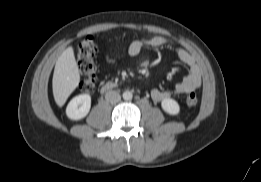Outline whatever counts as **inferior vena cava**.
Segmentation results:
<instances>
[{
	"label": "inferior vena cava",
	"instance_id": "1",
	"mask_svg": "<svg viewBox=\"0 0 261 182\" xmlns=\"http://www.w3.org/2000/svg\"><path fill=\"white\" fill-rule=\"evenodd\" d=\"M105 99L107 102H110L111 104H116L121 100V96L117 91H108L105 94Z\"/></svg>",
	"mask_w": 261,
	"mask_h": 182
}]
</instances>
